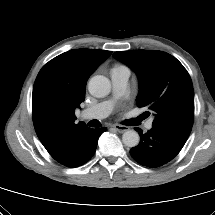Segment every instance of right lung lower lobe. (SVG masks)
<instances>
[{
	"label": "right lung lower lobe",
	"mask_w": 215,
	"mask_h": 215,
	"mask_svg": "<svg viewBox=\"0 0 215 215\" xmlns=\"http://www.w3.org/2000/svg\"><path fill=\"white\" fill-rule=\"evenodd\" d=\"M106 128L89 129L77 140L72 157L63 163L67 167H78L85 164L94 155L100 135Z\"/></svg>",
	"instance_id": "98d812e1"
}]
</instances>
